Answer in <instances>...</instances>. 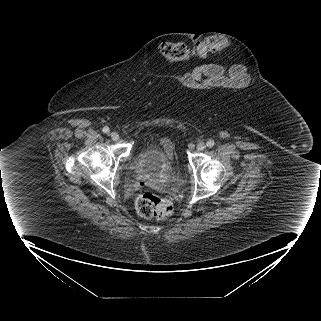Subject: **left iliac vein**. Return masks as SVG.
Wrapping results in <instances>:
<instances>
[{
    "label": "left iliac vein",
    "mask_w": 321,
    "mask_h": 321,
    "mask_svg": "<svg viewBox=\"0 0 321 321\" xmlns=\"http://www.w3.org/2000/svg\"><path fill=\"white\" fill-rule=\"evenodd\" d=\"M206 148V144L204 142H200L197 145V151H203Z\"/></svg>",
    "instance_id": "1"
}]
</instances>
